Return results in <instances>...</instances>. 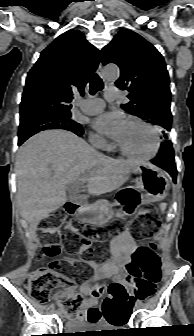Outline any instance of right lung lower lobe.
<instances>
[{
	"mask_svg": "<svg viewBox=\"0 0 194 336\" xmlns=\"http://www.w3.org/2000/svg\"><path fill=\"white\" fill-rule=\"evenodd\" d=\"M82 134H83V133H81V134H77V135H78V136H81ZM25 140H26V139L19 140L18 145L20 146Z\"/></svg>",
	"mask_w": 194,
	"mask_h": 336,
	"instance_id": "right-lung-lower-lobe-1",
	"label": "right lung lower lobe"
}]
</instances>
